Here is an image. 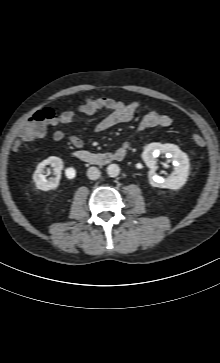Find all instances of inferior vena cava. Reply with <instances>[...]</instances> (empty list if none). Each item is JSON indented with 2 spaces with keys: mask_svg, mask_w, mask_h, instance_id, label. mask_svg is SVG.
<instances>
[{
  "mask_svg": "<svg viewBox=\"0 0 220 363\" xmlns=\"http://www.w3.org/2000/svg\"><path fill=\"white\" fill-rule=\"evenodd\" d=\"M100 170L97 168V167H90L88 170H87V176L89 179L91 180H96L100 177Z\"/></svg>",
  "mask_w": 220,
  "mask_h": 363,
  "instance_id": "obj_1",
  "label": "inferior vena cava"
}]
</instances>
